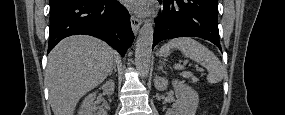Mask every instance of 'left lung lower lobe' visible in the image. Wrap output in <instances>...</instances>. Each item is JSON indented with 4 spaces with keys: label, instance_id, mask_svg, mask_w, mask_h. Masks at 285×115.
<instances>
[{
    "label": "left lung lower lobe",
    "instance_id": "0a47b994",
    "mask_svg": "<svg viewBox=\"0 0 285 115\" xmlns=\"http://www.w3.org/2000/svg\"><path fill=\"white\" fill-rule=\"evenodd\" d=\"M163 10L155 21L153 47L166 39L194 36L211 41L221 50L218 0H158Z\"/></svg>",
    "mask_w": 285,
    "mask_h": 115
}]
</instances>
